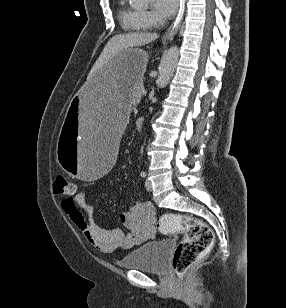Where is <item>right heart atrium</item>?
I'll return each instance as SVG.
<instances>
[{
	"mask_svg": "<svg viewBox=\"0 0 286 308\" xmlns=\"http://www.w3.org/2000/svg\"><path fill=\"white\" fill-rule=\"evenodd\" d=\"M143 19L149 27L154 26L159 22V20L149 12H143Z\"/></svg>",
	"mask_w": 286,
	"mask_h": 308,
	"instance_id": "right-heart-atrium-1",
	"label": "right heart atrium"
}]
</instances>
